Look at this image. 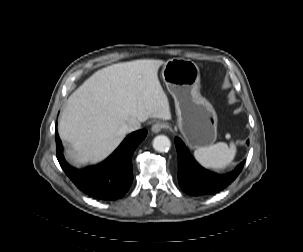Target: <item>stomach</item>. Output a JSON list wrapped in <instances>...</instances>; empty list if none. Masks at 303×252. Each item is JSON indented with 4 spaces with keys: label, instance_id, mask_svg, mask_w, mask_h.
I'll list each match as a JSON object with an SVG mask.
<instances>
[{
    "label": "stomach",
    "instance_id": "0dacf381",
    "mask_svg": "<svg viewBox=\"0 0 303 252\" xmlns=\"http://www.w3.org/2000/svg\"><path fill=\"white\" fill-rule=\"evenodd\" d=\"M162 78L173 96L178 128L191 148L207 147L217 138V115L200 94V71L191 60L173 58L162 68Z\"/></svg>",
    "mask_w": 303,
    "mask_h": 252
}]
</instances>
